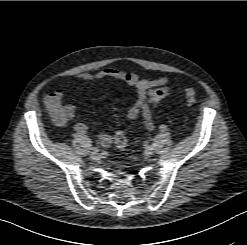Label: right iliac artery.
<instances>
[{"label":"right iliac artery","mask_w":247,"mask_h":245,"mask_svg":"<svg viewBox=\"0 0 247 245\" xmlns=\"http://www.w3.org/2000/svg\"><path fill=\"white\" fill-rule=\"evenodd\" d=\"M98 151H99L98 148H93V149H92V152H98Z\"/></svg>","instance_id":"obj_1"}]
</instances>
